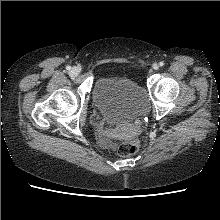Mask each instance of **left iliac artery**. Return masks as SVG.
Returning <instances> with one entry per match:
<instances>
[{
	"instance_id": "obj_1",
	"label": "left iliac artery",
	"mask_w": 220,
	"mask_h": 220,
	"mask_svg": "<svg viewBox=\"0 0 220 220\" xmlns=\"http://www.w3.org/2000/svg\"><path fill=\"white\" fill-rule=\"evenodd\" d=\"M164 64H165V63H164L163 61H161V62L159 63L160 66H164Z\"/></svg>"
}]
</instances>
